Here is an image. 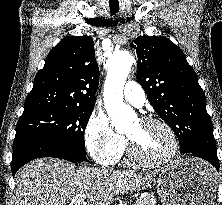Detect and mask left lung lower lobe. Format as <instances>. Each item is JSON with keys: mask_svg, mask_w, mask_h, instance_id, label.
Wrapping results in <instances>:
<instances>
[{"mask_svg": "<svg viewBox=\"0 0 222 205\" xmlns=\"http://www.w3.org/2000/svg\"><path fill=\"white\" fill-rule=\"evenodd\" d=\"M186 154L208 161L216 168L217 171H219V162H218L217 154L208 153V152H204V151H191Z\"/></svg>", "mask_w": 222, "mask_h": 205, "instance_id": "obj_1", "label": "left lung lower lobe"}]
</instances>
